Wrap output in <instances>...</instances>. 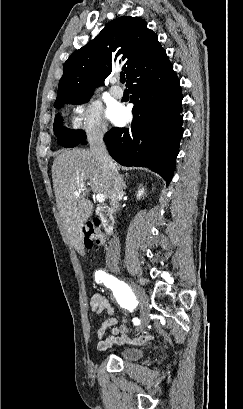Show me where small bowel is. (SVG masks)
Segmentation results:
<instances>
[{"instance_id":"obj_1","label":"small bowel","mask_w":243,"mask_h":409,"mask_svg":"<svg viewBox=\"0 0 243 409\" xmlns=\"http://www.w3.org/2000/svg\"><path fill=\"white\" fill-rule=\"evenodd\" d=\"M90 307L92 312L96 315L101 314L103 311H106L109 315V318L98 326V350L103 351L115 345L123 344L143 345L154 339L151 334H143L130 339L127 335L130 328L126 325V317H124L122 323L118 325V320L115 317V309L106 295L102 293L93 294L90 300ZM108 330L110 334L107 336L106 333Z\"/></svg>"}]
</instances>
